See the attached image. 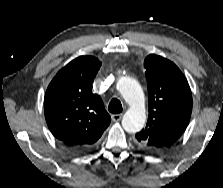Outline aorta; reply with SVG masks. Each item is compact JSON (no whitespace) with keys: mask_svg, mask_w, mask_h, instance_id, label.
Wrapping results in <instances>:
<instances>
[{"mask_svg":"<svg viewBox=\"0 0 223 188\" xmlns=\"http://www.w3.org/2000/svg\"><path fill=\"white\" fill-rule=\"evenodd\" d=\"M117 89L130 106L123 116L122 126L128 133L142 130L146 122L145 97L139 83L128 76L119 78Z\"/></svg>","mask_w":223,"mask_h":188,"instance_id":"obj_1","label":"aorta"}]
</instances>
